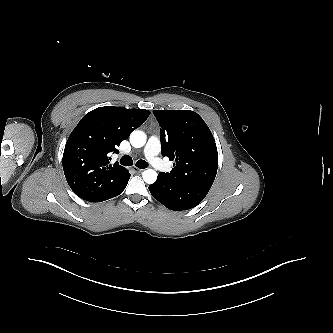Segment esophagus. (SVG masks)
Listing matches in <instances>:
<instances>
[{
    "label": "esophagus",
    "mask_w": 333,
    "mask_h": 333,
    "mask_svg": "<svg viewBox=\"0 0 333 333\" xmlns=\"http://www.w3.org/2000/svg\"><path fill=\"white\" fill-rule=\"evenodd\" d=\"M133 169L136 170V172H139V173H141L143 171V169L137 168L135 166L133 167Z\"/></svg>",
    "instance_id": "obj_1"
}]
</instances>
